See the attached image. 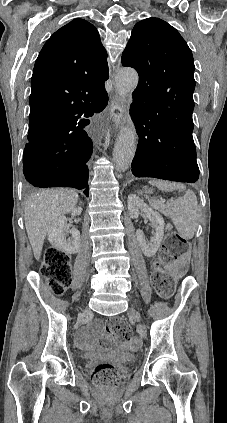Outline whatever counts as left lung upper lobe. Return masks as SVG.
Returning a JSON list of instances; mask_svg holds the SVG:
<instances>
[{
    "label": "left lung upper lobe",
    "mask_w": 227,
    "mask_h": 423,
    "mask_svg": "<svg viewBox=\"0 0 227 423\" xmlns=\"http://www.w3.org/2000/svg\"><path fill=\"white\" fill-rule=\"evenodd\" d=\"M122 65L139 74L131 106L150 111H193L192 52L179 32L162 19L147 18L134 26Z\"/></svg>",
    "instance_id": "left-lung-upper-lobe-1"
}]
</instances>
